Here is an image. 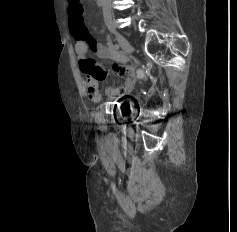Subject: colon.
<instances>
[{"label": "colon", "mask_w": 237, "mask_h": 232, "mask_svg": "<svg viewBox=\"0 0 237 232\" xmlns=\"http://www.w3.org/2000/svg\"><path fill=\"white\" fill-rule=\"evenodd\" d=\"M83 6L80 0H69V20L72 31L82 34L86 31L83 20Z\"/></svg>", "instance_id": "5ec220e1"}]
</instances>
